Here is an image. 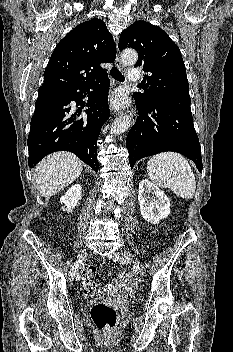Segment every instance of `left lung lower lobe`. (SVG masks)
<instances>
[{
    "mask_svg": "<svg viewBox=\"0 0 233 352\" xmlns=\"http://www.w3.org/2000/svg\"><path fill=\"white\" fill-rule=\"evenodd\" d=\"M135 103L143 113L126 139L130 167L143 157L173 151L191 159L201 171V148L192 114L162 103Z\"/></svg>",
    "mask_w": 233,
    "mask_h": 352,
    "instance_id": "obj_1",
    "label": "left lung lower lobe"
}]
</instances>
